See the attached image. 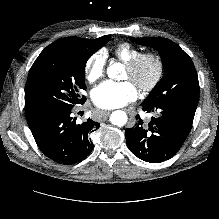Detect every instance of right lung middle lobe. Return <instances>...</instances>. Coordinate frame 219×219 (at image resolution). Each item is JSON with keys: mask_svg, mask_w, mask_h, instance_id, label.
<instances>
[{"mask_svg": "<svg viewBox=\"0 0 219 219\" xmlns=\"http://www.w3.org/2000/svg\"><path fill=\"white\" fill-rule=\"evenodd\" d=\"M110 39L108 35L105 42L95 47L67 37L46 47L28 74L25 87L27 119L84 103L85 97L81 98L79 91L86 89V62Z\"/></svg>", "mask_w": 219, "mask_h": 219, "instance_id": "right-lung-middle-lobe-1", "label": "right lung middle lobe"}]
</instances>
